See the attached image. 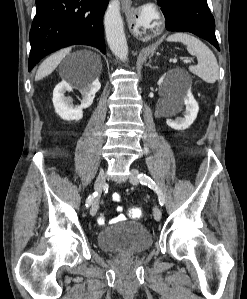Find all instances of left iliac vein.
Returning a JSON list of instances; mask_svg holds the SVG:
<instances>
[{"mask_svg":"<svg viewBox=\"0 0 247 299\" xmlns=\"http://www.w3.org/2000/svg\"><path fill=\"white\" fill-rule=\"evenodd\" d=\"M138 175H139V171L137 169H134V168L131 169V173H130V177H129L131 184H133V185L138 184V182H139ZM153 216H154L156 221L161 220L162 212H161V209L158 206H155L153 208Z\"/></svg>","mask_w":247,"mask_h":299,"instance_id":"obj_1","label":"left iliac vein"}]
</instances>
